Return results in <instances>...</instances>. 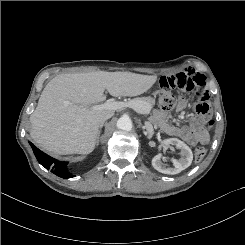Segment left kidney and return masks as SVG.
<instances>
[{
    "label": "left kidney",
    "instance_id": "5707ae66",
    "mask_svg": "<svg viewBox=\"0 0 245 245\" xmlns=\"http://www.w3.org/2000/svg\"><path fill=\"white\" fill-rule=\"evenodd\" d=\"M169 145L175 146L181 150V158L172 159L173 167H166L161 161V155H156L152 159V166L158 172L164 174H178L191 165L193 153L189 146L177 138H170L161 143V146L164 148L169 147Z\"/></svg>",
    "mask_w": 245,
    "mask_h": 245
}]
</instances>
